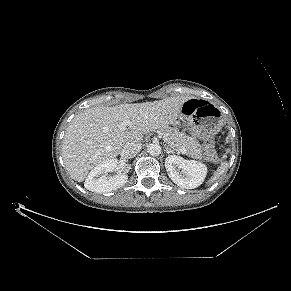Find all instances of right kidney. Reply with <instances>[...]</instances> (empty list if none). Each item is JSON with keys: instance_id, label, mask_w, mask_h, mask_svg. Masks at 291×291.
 I'll return each instance as SVG.
<instances>
[{"instance_id": "1", "label": "right kidney", "mask_w": 291, "mask_h": 291, "mask_svg": "<svg viewBox=\"0 0 291 291\" xmlns=\"http://www.w3.org/2000/svg\"><path fill=\"white\" fill-rule=\"evenodd\" d=\"M119 169V163L117 159H111L97 165L88 174L84 186L87 190L96 193H107L123 186L128 176L124 173H119L112 176H108V172H116Z\"/></svg>"}]
</instances>
